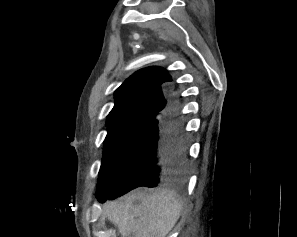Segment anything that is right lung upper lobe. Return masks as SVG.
I'll list each match as a JSON object with an SVG mask.
<instances>
[{"mask_svg": "<svg viewBox=\"0 0 297 237\" xmlns=\"http://www.w3.org/2000/svg\"><path fill=\"white\" fill-rule=\"evenodd\" d=\"M171 76L161 67H148L135 72L116 89L115 105L107 117V124L147 117L152 119L169 104L166 90Z\"/></svg>", "mask_w": 297, "mask_h": 237, "instance_id": "obj_1", "label": "right lung upper lobe"}]
</instances>
